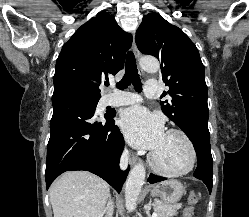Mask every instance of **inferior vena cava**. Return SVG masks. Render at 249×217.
<instances>
[{
	"mask_svg": "<svg viewBox=\"0 0 249 217\" xmlns=\"http://www.w3.org/2000/svg\"><path fill=\"white\" fill-rule=\"evenodd\" d=\"M128 158H129L128 151L125 149L122 156H121V159H120V168L122 170H125L127 168ZM105 210L107 211V215L105 217H112L113 204H112L111 200L108 202L107 207H106Z\"/></svg>",
	"mask_w": 249,
	"mask_h": 217,
	"instance_id": "inferior-vena-cava-1",
	"label": "inferior vena cava"
}]
</instances>
